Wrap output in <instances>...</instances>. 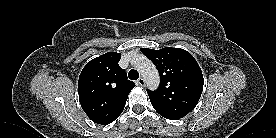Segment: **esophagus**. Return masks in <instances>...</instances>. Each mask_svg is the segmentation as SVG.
I'll list each match as a JSON object with an SVG mask.
<instances>
[{"mask_svg":"<svg viewBox=\"0 0 276 138\" xmlns=\"http://www.w3.org/2000/svg\"><path fill=\"white\" fill-rule=\"evenodd\" d=\"M138 85L144 87L145 86V80L141 77L137 80Z\"/></svg>","mask_w":276,"mask_h":138,"instance_id":"esophagus-1","label":"esophagus"}]
</instances>
